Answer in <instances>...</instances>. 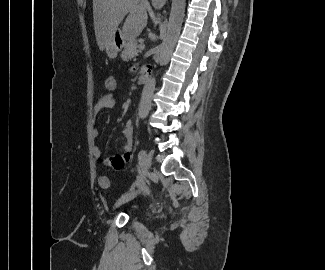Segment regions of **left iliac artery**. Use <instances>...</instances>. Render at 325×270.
Returning a JSON list of instances; mask_svg holds the SVG:
<instances>
[{"label": "left iliac artery", "mask_w": 325, "mask_h": 270, "mask_svg": "<svg viewBox=\"0 0 325 270\" xmlns=\"http://www.w3.org/2000/svg\"><path fill=\"white\" fill-rule=\"evenodd\" d=\"M146 157V151L145 150H141L138 154V159H139V163L142 164L144 162V159Z\"/></svg>", "instance_id": "44dca946"}]
</instances>
